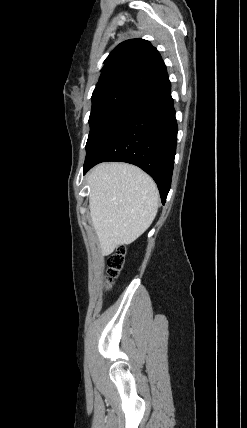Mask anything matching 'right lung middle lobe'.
I'll list each match as a JSON object with an SVG mask.
<instances>
[{"label": "right lung middle lobe", "mask_w": 247, "mask_h": 428, "mask_svg": "<svg viewBox=\"0 0 247 428\" xmlns=\"http://www.w3.org/2000/svg\"><path fill=\"white\" fill-rule=\"evenodd\" d=\"M138 94L139 92L123 88L92 94V109L89 117L90 133L86 150L90 148L103 128Z\"/></svg>", "instance_id": "dd1d6c3e"}]
</instances>
